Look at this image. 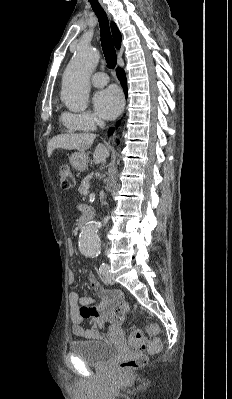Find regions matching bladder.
Wrapping results in <instances>:
<instances>
[{"label":"bladder","instance_id":"bladder-1","mask_svg":"<svg viewBox=\"0 0 232 399\" xmlns=\"http://www.w3.org/2000/svg\"><path fill=\"white\" fill-rule=\"evenodd\" d=\"M69 348L73 354L93 365H104L122 352L119 345L104 340L72 341Z\"/></svg>","mask_w":232,"mask_h":399}]
</instances>
